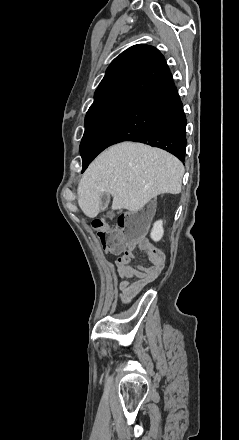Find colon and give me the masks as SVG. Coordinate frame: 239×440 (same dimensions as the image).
I'll return each instance as SVG.
<instances>
[{
    "label": "colon",
    "instance_id": "1",
    "mask_svg": "<svg viewBox=\"0 0 239 440\" xmlns=\"http://www.w3.org/2000/svg\"><path fill=\"white\" fill-rule=\"evenodd\" d=\"M118 225V229H112L102 219L91 221L92 229L106 252L119 254L128 246L142 242L143 226L138 216L122 215Z\"/></svg>",
    "mask_w": 239,
    "mask_h": 440
}]
</instances>
